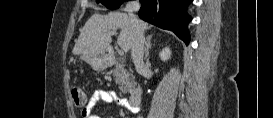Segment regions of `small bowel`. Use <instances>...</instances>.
Returning a JSON list of instances; mask_svg holds the SVG:
<instances>
[{
  "mask_svg": "<svg viewBox=\"0 0 273 118\" xmlns=\"http://www.w3.org/2000/svg\"><path fill=\"white\" fill-rule=\"evenodd\" d=\"M100 101L105 103H117L120 104L121 106H126L125 100L118 98L116 95H114L112 92L108 90L99 89L96 90L88 99L86 105L82 109V116L84 118H94L92 116V110ZM130 109L133 113L139 112V109L137 107H130Z\"/></svg>",
  "mask_w": 273,
  "mask_h": 118,
  "instance_id": "c3829d8e",
  "label": "small bowel"
}]
</instances>
